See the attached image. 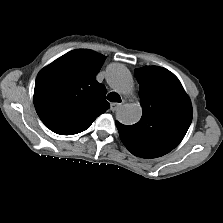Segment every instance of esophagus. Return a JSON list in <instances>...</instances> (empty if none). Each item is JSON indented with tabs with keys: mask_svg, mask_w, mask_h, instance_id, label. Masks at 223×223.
Here are the masks:
<instances>
[{
	"mask_svg": "<svg viewBox=\"0 0 223 223\" xmlns=\"http://www.w3.org/2000/svg\"><path fill=\"white\" fill-rule=\"evenodd\" d=\"M121 107L120 103H111L110 104V110L115 112L116 110H118Z\"/></svg>",
	"mask_w": 223,
	"mask_h": 223,
	"instance_id": "34e87169",
	"label": "esophagus"
}]
</instances>
